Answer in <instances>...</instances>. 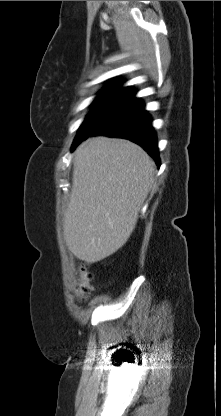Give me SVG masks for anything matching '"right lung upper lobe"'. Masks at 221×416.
<instances>
[{
	"instance_id": "obj_1",
	"label": "right lung upper lobe",
	"mask_w": 221,
	"mask_h": 416,
	"mask_svg": "<svg viewBox=\"0 0 221 416\" xmlns=\"http://www.w3.org/2000/svg\"><path fill=\"white\" fill-rule=\"evenodd\" d=\"M119 85H121V81L112 82L103 91H101L100 95L123 96L125 98H129L135 94V91L129 89L128 87L117 88Z\"/></svg>"
}]
</instances>
